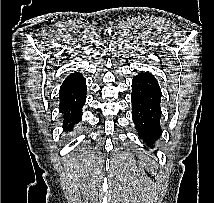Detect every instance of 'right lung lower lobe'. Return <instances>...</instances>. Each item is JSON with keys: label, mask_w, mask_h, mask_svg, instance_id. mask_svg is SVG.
Instances as JSON below:
<instances>
[{"label": "right lung lower lobe", "mask_w": 214, "mask_h": 203, "mask_svg": "<svg viewBox=\"0 0 214 203\" xmlns=\"http://www.w3.org/2000/svg\"><path fill=\"white\" fill-rule=\"evenodd\" d=\"M59 111L63 114V128L72 130L81 120V109L86 101V81L78 72L69 75L60 88Z\"/></svg>", "instance_id": "98d812e1"}]
</instances>
